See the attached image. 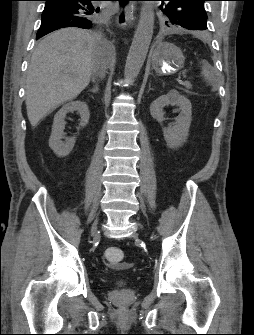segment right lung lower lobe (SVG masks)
<instances>
[{
  "mask_svg": "<svg viewBox=\"0 0 254 335\" xmlns=\"http://www.w3.org/2000/svg\"><path fill=\"white\" fill-rule=\"evenodd\" d=\"M41 26L36 39L64 27L90 28L96 0H44Z\"/></svg>",
  "mask_w": 254,
  "mask_h": 335,
  "instance_id": "right-lung-lower-lobe-1",
  "label": "right lung lower lobe"
}]
</instances>
